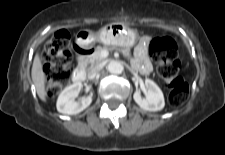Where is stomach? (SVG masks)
<instances>
[{
	"label": "stomach",
	"instance_id": "0dacf381",
	"mask_svg": "<svg viewBox=\"0 0 225 155\" xmlns=\"http://www.w3.org/2000/svg\"><path fill=\"white\" fill-rule=\"evenodd\" d=\"M136 40V33L121 23L109 24L97 33L83 30L80 31L77 36V42L85 46L94 41H100L105 45L131 47L135 44Z\"/></svg>",
	"mask_w": 225,
	"mask_h": 155
}]
</instances>
